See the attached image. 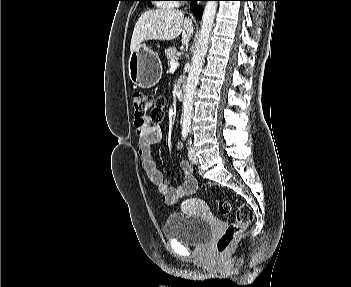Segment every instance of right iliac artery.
<instances>
[{"label": "right iliac artery", "instance_id": "right-iliac-artery-1", "mask_svg": "<svg viewBox=\"0 0 351 287\" xmlns=\"http://www.w3.org/2000/svg\"><path fill=\"white\" fill-rule=\"evenodd\" d=\"M187 135H188V133H187V132H183V133H182L183 140H185V139H186Z\"/></svg>", "mask_w": 351, "mask_h": 287}]
</instances>
